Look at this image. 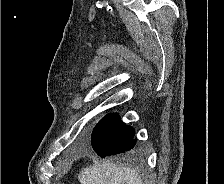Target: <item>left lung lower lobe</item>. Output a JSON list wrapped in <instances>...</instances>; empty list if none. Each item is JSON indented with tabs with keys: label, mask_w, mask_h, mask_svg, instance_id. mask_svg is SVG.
Segmentation results:
<instances>
[{
	"label": "left lung lower lobe",
	"mask_w": 224,
	"mask_h": 184,
	"mask_svg": "<svg viewBox=\"0 0 224 184\" xmlns=\"http://www.w3.org/2000/svg\"><path fill=\"white\" fill-rule=\"evenodd\" d=\"M135 131L117 114H107L94 127L91 143L102 158L132 150L136 144Z\"/></svg>",
	"instance_id": "0a47b994"
}]
</instances>
